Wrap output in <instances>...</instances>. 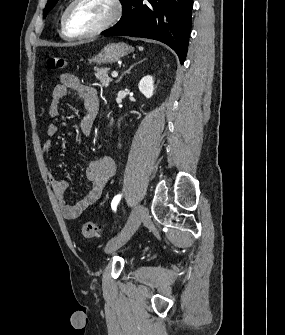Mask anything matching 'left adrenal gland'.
<instances>
[{"mask_svg": "<svg viewBox=\"0 0 285 335\" xmlns=\"http://www.w3.org/2000/svg\"><path fill=\"white\" fill-rule=\"evenodd\" d=\"M144 60H146V58H144ZM144 60H141V62H144ZM141 62H138V64H141ZM134 66H136V64H133V66H130L129 70H126V72H123V74H121L119 80H117L116 84H118V82H120V80H122L123 76H125V74H130V70H132V68H134Z\"/></svg>", "mask_w": 285, "mask_h": 335, "instance_id": "1", "label": "left adrenal gland"}]
</instances>
